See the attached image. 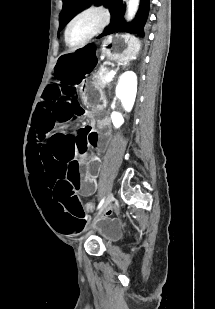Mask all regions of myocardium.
Returning <instances> with one entry per match:
<instances>
[{
    "mask_svg": "<svg viewBox=\"0 0 215 309\" xmlns=\"http://www.w3.org/2000/svg\"><path fill=\"white\" fill-rule=\"evenodd\" d=\"M107 12L88 9L77 14L64 30V42L70 48H82L109 24ZM78 35L75 36V33Z\"/></svg>",
    "mask_w": 215,
    "mask_h": 309,
    "instance_id": "myocardium-1",
    "label": "myocardium"
}]
</instances>
